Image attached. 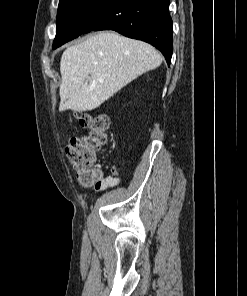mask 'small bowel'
I'll use <instances>...</instances> for the list:
<instances>
[{"label": "small bowel", "instance_id": "1", "mask_svg": "<svg viewBox=\"0 0 247 296\" xmlns=\"http://www.w3.org/2000/svg\"><path fill=\"white\" fill-rule=\"evenodd\" d=\"M119 184V180L115 177H108L103 183L102 188L115 187Z\"/></svg>", "mask_w": 247, "mask_h": 296}]
</instances>
